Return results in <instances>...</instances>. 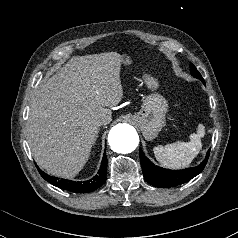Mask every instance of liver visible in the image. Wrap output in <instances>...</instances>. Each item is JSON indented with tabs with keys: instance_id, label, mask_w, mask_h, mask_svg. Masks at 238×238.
I'll list each match as a JSON object with an SVG mask.
<instances>
[{
	"instance_id": "liver-1",
	"label": "liver",
	"mask_w": 238,
	"mask_h": 238,
	"mask_svg": "<svg viewBox=\"0 0 238 238\" xmlns=\"http://www.w3.org/2000/svg\"><path fill=\"white\" fill-rule=\"evenodd\" d=\"M121 55L106 52L71 58L30 102L27 139L37 164L48 174L75 177L87 162L98 120H112L109 107L123 98Z\"/></svg>"
}]
</instances>
